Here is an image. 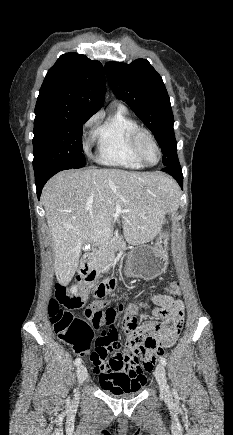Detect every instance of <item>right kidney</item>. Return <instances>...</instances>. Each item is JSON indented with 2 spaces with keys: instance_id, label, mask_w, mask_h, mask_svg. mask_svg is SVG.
<instances>
[{
  "instance_id": "ca27d5eb",
  "label": "right kidney",
  "mask_w": 233,
  "mask_h": 435,
  "mask_svg": "<svg viewBox=\"0 0 233 435\" xmlns=\"http://www.w3.org/2000/svg\"><path fill=\"white\" fill-rule=\"evenodd\" d=\"M77 291H78V289H77V286H76V285H75V286H72V287L70 288V292H71L72 294H76Z\"/></svg>"
}]
</instances>
